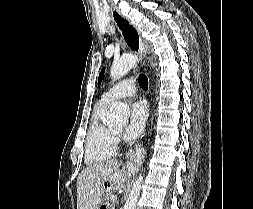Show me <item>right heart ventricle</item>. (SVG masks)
<instances>
[{
    "label": "right heart ventricle",
    "instance_id": "right-heart-ventricle-1",
    "mask_svg": "<svg viewBox=\"0 0 253 209\" xmlns=\"http://www.w3.org/2000/svg\"><path fill=\"white\" fill-rule=\"evenodd\" d=\"M108 103L99 101L94 109L85 140V162L93 165L113 158L118 151L113 130L103 123Z\"/></svg>",
    "mask_w": 253,
    "mask_h": 209
}]
</instances>
